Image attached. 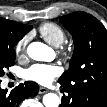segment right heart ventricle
<instances>
[{
	"label": "right heart ventricle",
	"instance_id": "right-heart-ventricle-1",
	"mask_svg": "<svg viewBox=\"0 0 107 107\" xmlns=\"http://www.w3.org/2000/svg\"><path fill=\"white\" fill-rule=\"evenodd\" d=\"M40 35L52 46L60 47L66 40L64 29L56 23L47 22L39 27Z\"/></svg>",
	"mask_w": 107,
	"mask_h": 107
}]
</instances>
